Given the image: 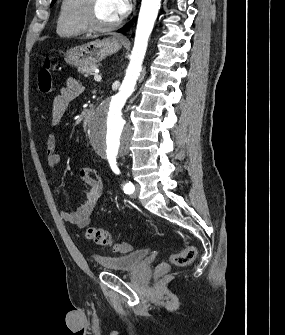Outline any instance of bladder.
<instances>
[{
    "instance_id": "31cf9c89",
    "label": "bladder",
    "mask_w": 285,
    "mask_h": 335,
    "mask_svg": "<svg viewBox=\"0 0 285 335\" xmlns=\"http://www.w3.org/2000/svg\"><path fill=\"white\" fill-rule=\"evenodd\" d=\"M148 255L146 248H140L127 253L95 258V265H99L101 269L108 265L110 267L108 272H133L144 264Z\"/></svg>"
}]
</instances>
